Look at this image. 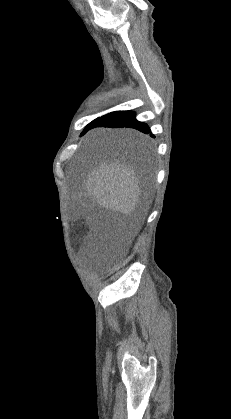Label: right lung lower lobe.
<instances>
[{
	"label": "right lung lower lobe",
	"instance_id": "obj_1",
	"mask_svg": "<svg viewBox=\"0 0 231 419\" xmlns=\"http://www.w3.org/2000/svg\"><path fill=\"white\" fill-rule=\"evenodd\" d=\"M95 127H129L137 129L145 134L150 133V135L154 137L147 124L136 120L133 111H115L106 114L100 117L90 129Z\"/></svg>",
	"mask_w": 231,
	"mask_h": 419
}]
</instances>
